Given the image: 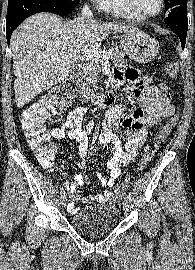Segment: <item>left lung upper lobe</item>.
I'll return each mask as SVG.
<instances>
[{
	"mask_svg": "<svg viewBox=\"0 0 195 270\" xmlns=\"http://www.w3.org/2000/svg\"><path fill=\"white\" fill-rule=\"evenodd\" d=\"M166 10H169L178 5H187V0H164Z\"/></svg>",
	"mask_w": 195,
	"mask_h": 270,
	"instance_id": "obj_1",
	"label": "left lung upper lobe"
}]
</instances>
